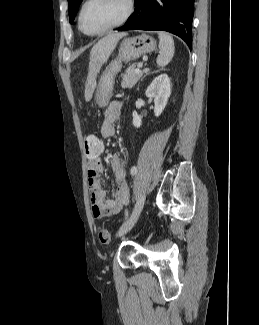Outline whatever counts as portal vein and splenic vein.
Instances as JSON below:
<instances>
[{"label": "portal vein and splenic vein", "instance_id": "portal-vein-and-splenic-vein-1", "mask_svg": "<svg viewBox=\"0 0 259 325\" xmlns=\"http://www.w3.org/2000/svg\"><path fill=\"white\" fill-rule=\"evenodd\" d=\"M135 72H136V73H141L140 68L135 69Z\"/></svg>", "mask_w": 259, "mask_h": 325}]
</instances>
